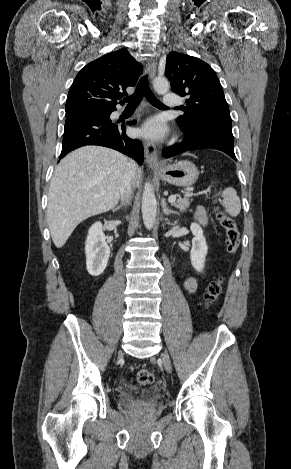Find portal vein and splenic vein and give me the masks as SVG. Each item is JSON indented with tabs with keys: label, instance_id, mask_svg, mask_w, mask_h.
I'll list each match as a JSON object with an SVG mask.
<instances>
[{
	"label": "portal vein and splenic vein",
	"instance_id": "1",
	"mask_svg": "<svg viewBox=\"0 0 291 469\" xmlns=\"http://www.w3.org/2000/svg\"><path fill=\"white\" fill-rule=\"evenodd\" d=\"M175 201H176V196L172 195V196H169V197H168V202H169V203H173V202H175Z\"/></svg>",
	"mask_w": 291,
	"mask_h": 469
}]
</instances>
